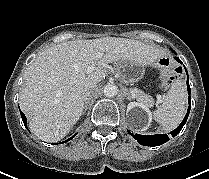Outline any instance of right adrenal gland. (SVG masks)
I'll return each mask as SVG.
<instances>
[{"mask_svg":"<svg viewBox=\"0 0 209 179\" xmlns=\"http://www.w3.org/2000/svg\"><path fill=\"white\" fill-rule=\"evenodd\" d=\"M90 100H91V98L89 97V99L85 102L83 114H85V112H86V110H87V107H88V105H89V103H90Z\"/></svg>","mask_w":209,"mask_h":179,"instance_id":"right-adrenal-gland-1","label":"right adrenal gland"}]
</instances>
